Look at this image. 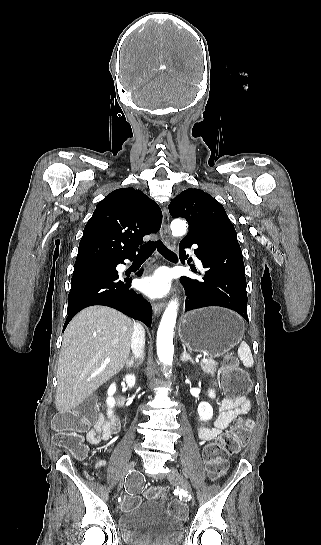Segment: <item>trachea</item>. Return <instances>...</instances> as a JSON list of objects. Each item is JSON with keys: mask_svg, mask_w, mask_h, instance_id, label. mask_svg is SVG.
Instances as JSON below:
<instances>
[{"mask_svg": "<svg viewBox=\"0 0 321 545\" xmlns=\"http://www.w3.org/2000/svg\"><path fill=\"white\" fill-rule=\"evenodd\" d=\"M157 248V250L164 255L168 260H177V256L175 253L168 250V248L163 245L161 241L157 242H148L146 245H143L140 250L138 251L137 259H146L150 257L153 253V251Z\"/></svg>", "mask_w": 321, "mask_h": 545, "instance_id": "trachea-1", "label": "trachea"}]
</instances>
